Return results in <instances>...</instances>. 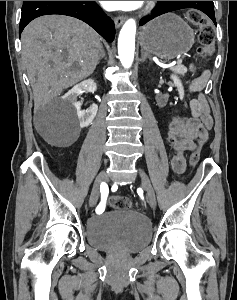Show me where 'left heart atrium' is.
Here are the masks:
<instances>
[{"label":"left heart atrium","instance_id":"1","mask_svg":"<svg viewBox=\"0 0 237 300\" xmlns=\"http://www.w3.org/2000/svg\"><path fill=\"white\" fill-rule=\"evenodd\" d=\"M108 11H128L138 8L142 1H100Z\"/></svg>","mask_w":237,"mask_h":300}]
</instances>
